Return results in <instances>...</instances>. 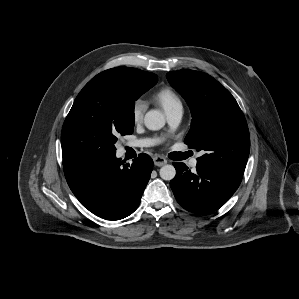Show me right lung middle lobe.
Instances as JSON below:
<instances>
[{
  "label": "right lung middle lobe",
  "mask_w": 299,
  "mask_h": 299,
  "mask_svg": "<svg viewBox=\"0 0 299 299\" xmlns=\"http://www.w3.org/2000/svg\"><path fill=\"white\" fill-rule=\"evenodd\" d=\"M147 90L130 88L115 75H96L80 91L65 119L62 152L115 155L117 137L133 133L135 101Z\"/></svg>",
  "instance_id": "right-lung-middle-lobe-1"
}]
</instances>
